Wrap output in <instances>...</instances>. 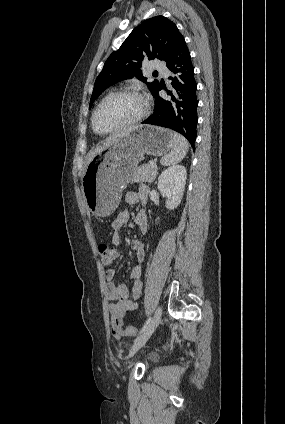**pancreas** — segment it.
<instances>
[{"instance_id":"pancreas-1","label":"pancreas","mask_w":285,"mask_h":424,"mask_svg":"<svg viewBox=\"0 0 285 424\" xmlns=\"http://www.w3.org/2000/svg\"><path fill=\"white\" fill-rule=\"evenodd\" d=\"M157 170L158 169H157L156 163H154L153 165H151L150 163L143 164L139 168H137L135 174L132 177L131 182L132 183H143V182L151 183L155 180L157 176Z\"/></svg>"}]
</instances>
